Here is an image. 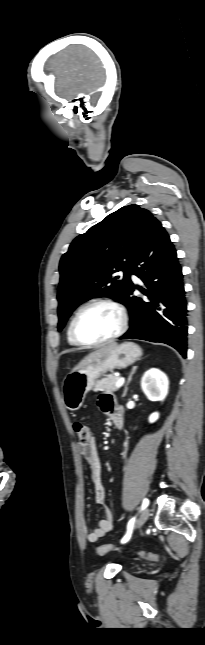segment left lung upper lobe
Masks as SVG:
<instances>
[{"label":"left lung upper lobe","mask_w":205,"mask_h":645,"mask_svg":"<svg viewBox=\"0 0 205 645\" xmlns=\"http://www.w3.org/2000/svg\"><path fill=\"white\" fill-rule=\"evenodd\" d=\"M154 219L137 205L124 206L73 240L59 266V331L74 309L91 298L113 296L123 303L135 251ZM119 271L124 272L121 280L114 276Z\"/></svg>","instance_id":"5c2ea615"}]
</instances>
